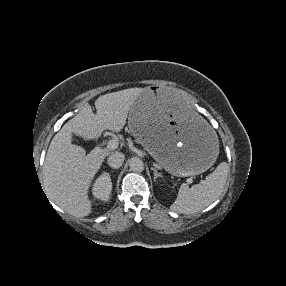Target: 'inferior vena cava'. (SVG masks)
I'll return each instance as SVG.
<instances>
[{"label": "inferior vena cava", "instance_id": "obj_1", "mask_svg": "<svg viewBox=\"0 0 286 286\" xmlns=\"http://www.w3.org/2000/svg\"><path fill=\"white\" fill-rule=\"evenodd\" d=\"M125 156L123 153L115 152L108 157V165L111 168L118 169L122 166Z\"/></svg>", "mask_w": 286, "mask_h": 286}]
</instances>
